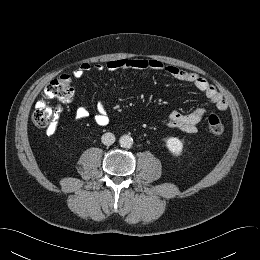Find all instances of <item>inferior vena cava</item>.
Masks as SVG:
<instances>
[{
    "instance_id": "602c4592",
    "label": "inferior vena cava",
    "mask_w": 260,
    "mask_h": 260,
    "mask_svg": "<svg viewBox=\"0 0 260 260\" xmlns=\"http://www.w3.org/2000/svg\"><path fill=\"white\" fill-rule=\"evenodd\" d=\"M101 141L104 145H112L115 142V136L113 133H105L101 137Z\"/></svg>"
}]
</instances>
